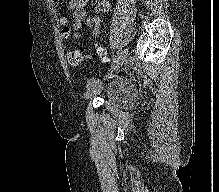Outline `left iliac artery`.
Wrapping results in <instances>:
<instances>
[{
    "instance_id": "1",
    "label": "left iliac artery",
    "mask_w": 219,
    "mask_h": 192,
    "mask_svg": "<svg viewBox=\"0 0 219 192\" xmlns=\"http://www.w3.org/2000/svg\"><path fill=\"white\" fill-rule=\"evenodd\" d=\"M119 53H120V49L117 50L115 57L113 58V61L118 57Z\"/></svg>"
}]
</instances>
